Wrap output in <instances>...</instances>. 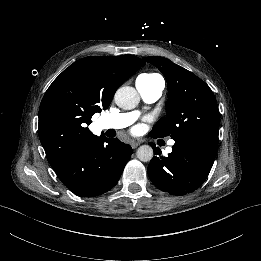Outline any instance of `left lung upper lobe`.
I'll return each instance as SVG.
<instances>
[{
    "mask_svg": "<svg viewBox=\"0 0 261 261\" xmlns=\"http://www.w3.org/2000/svg\"><path fill=\"white\" fill-rule=\"evenodd\" d=\"M144 60L156 66L168 84L166 116L154 125L150 136L170 135L180 140L190 135H203L218 141L220 115L209 86L166 58L153 56Z\"/></svg>",
    "mask_w": 261,
    "mask_h": 261,
    "instance_id": "left-lung-upper-lobe-1",
    "label": "left lung upper lobe"
}]
</instances>
